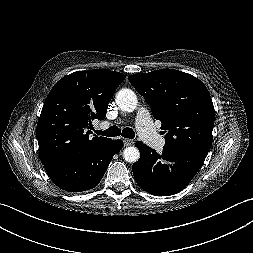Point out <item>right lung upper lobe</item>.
I'll use <instances>...</instances> for the list:
<instances>
[{"instance_id":"right-lung-upper-lobe-1","label":"right lung upper lobe","mask_w":253,"mask_h":253,"mask_svg":"<svg viewBox=\"0 0 253 253\" xmlns=\"http://www.w3.org/2000/svg\"><path fill=\"white\" fill-rule=\"evenodd\" d=\"M125 75L108 69L77 71L60 79L48 94L36 129L40 160L85 152L110 138L89 135Z\"/></svg>"}]
</instances>
